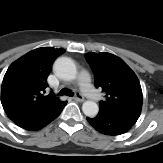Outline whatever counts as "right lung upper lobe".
I'll return each instance as SVG.
<instances>
[{"label": "right lung upper lobe", "instance_id": "1", "mask_svg": "<svg viewBox=\"0 0 163 163\" xmlns=\"http://www.w3.org/2000/svg\"><path fill=\"white\" fill-rule=\"evenodd\" d=\"M62 50L43 47L35 49L8 69L2 83V105L11 117L28 113L53 110L64 102L58 101L53 92H47V76L51 64Z\"/></svg>", "mask_w": 163, "mask_h": 163}]
</instances>
